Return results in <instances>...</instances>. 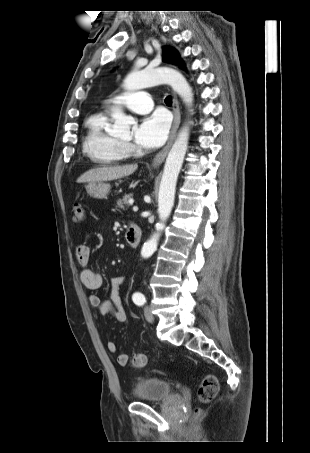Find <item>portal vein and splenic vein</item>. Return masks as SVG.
Returning <instances> with one entry per match:
<instances>
[{"mask_svg": "<svg viewBox=\"0 0 310 453\" xmlns=\"http://www.w3.org/2000/svg\"><path fill=\"white\" fill-rule=\"evenodd\" d=\"M130 203H132V201H130ZM133 211H138V207H137V206H134V207H133Z\"/></svg>", "mask_w": 310, "mask_h": 453, "instance_id": "portal-vein-and-splenic-vein-1", "label": "portal vein and splenic vein"}]
</instances>
